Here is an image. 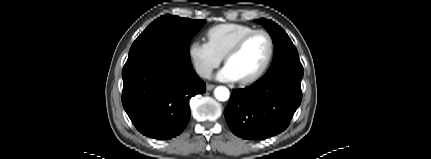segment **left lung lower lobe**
I'll list each match as a JSON object with an SVG mask.
<instances>
[{"label": "left lung lower lobe", "instance_id": "obj_1", "mask_svg": "<svg viewBox=\"0 0 431 159\" xmlns=\"http://www.w3.org/2000/svg\"><path fill=\"white\" fill-rule=\"evenodd\" d=\"M303 72L277 69L251 86L233 90L225 109L231 131L247 140H264L284 131L301 103Z\"/></svg>", "mask_w": 431, "mask_h": 159}]
</instances>
